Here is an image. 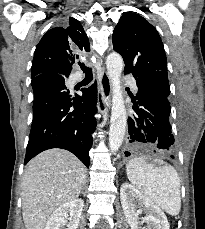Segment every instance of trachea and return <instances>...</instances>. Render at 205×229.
I'll list each match as a JSON object with an SVG mask.
<instances>
[{"label":"trachea","mask_w":205,"mask_h":229,"mask_svg":"<svg viewBox=\"0 0 205 229\" xmlns=\"http://www.w3.org/2000/svg\"><path fill=\"white\" fill-rule=\"evenodd\" d=\"M80 67L83 70V72L85 73L86 78H92L93 77L91 68H88L83 64L80 65Z\"/></svg>","instance_id":"1"}]
</instances>
